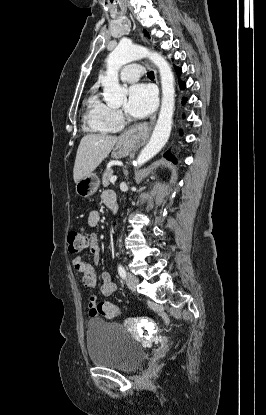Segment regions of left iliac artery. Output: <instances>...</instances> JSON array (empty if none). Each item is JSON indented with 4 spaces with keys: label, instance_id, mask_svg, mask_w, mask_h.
Wrapping results in <instances>:
<instances>
[{
    "label": "left iliac artery",
    "instance_id": "44dca946",
    "mask_svg": "<svg viewBox=\"0 0 266 415\" xmlns=\"http://www.w3.org/2000/svg\"><path fill=\"white\" fill-rule=\"evenodd\" d=\"M118 273L122 279L126 278V270L121 264L118 265Z\"/></svg>",
    "mask_w": 266,
    "mask_h": 415
}]
</instances>
